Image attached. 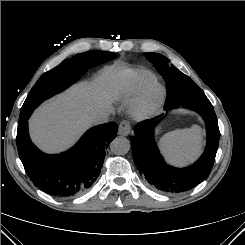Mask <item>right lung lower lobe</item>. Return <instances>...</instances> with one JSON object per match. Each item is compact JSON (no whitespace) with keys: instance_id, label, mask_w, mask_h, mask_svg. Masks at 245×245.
Here are the masks:
<instances>
[{"instance_id":"98d812e1","label":"right lung lower lobe","mask_w":245,"mask_h":245,"mask_svg":"<svg viewBox=\"0 0 245 245\" xmlns=\"http://www.w3.org/2000/svg\"><path fill=\"white\" fill-rule=\"evenodd\" d=\"M103 63L100 58H88L83 73ZM28 119L19 122L17 148L24 169L35 186L57 197H73L87 191L100 174L105 147L115 138L117 124L105 123L88 130L70 150L48 155L30 140Z\"/></svg>"}]
</instances>
